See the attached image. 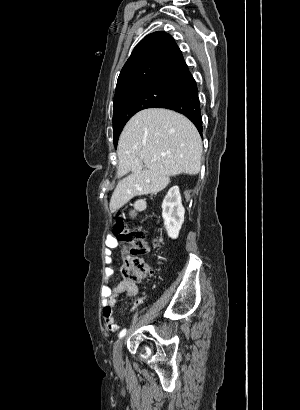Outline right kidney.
I'll return each mask as SVG.
<instances>
[{"instance_id": "obj_1", "label": "right kidney", "mask_w": 300, "mask_h": 410, "mask_svg": "<svg viewBox=\"0 0 300 410\" xmlns=\"http://www.w3.org/2000/svg\"><path fill=\"white\" fill-rule=\"evenodd\" d=\"M185 209L182 205L178 186L169 189L162 203V217L167 234L176 239L184 222Z\"/></svg>"}]
</instances>
